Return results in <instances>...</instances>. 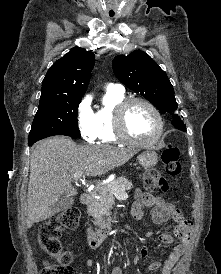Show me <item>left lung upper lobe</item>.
Instances as JSON below:
<instances>
[{"label":"left lung upper lobe","instance_id":"obj_1","mask_svg":"<svg viewBox=\"0 0 221 274\" xmlns=\"http://www.w3.org/2000/svg\"><path fill=\"white\" fill-rule=\"evenodd\" d=\"M112 68L124 85L148 99L162 114H170L174 127L186 131L183 119L176 111L173 86L149 55L143 51L118 55L113 59Z\"/></svg>","mask_w":221,"mask_h":274}]
</instances>
